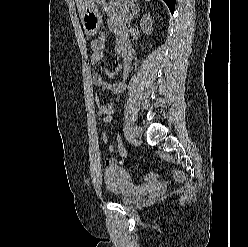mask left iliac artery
<instances>
[{
	"label": "left iliac artery",
	"instance_id": "left-iliac-artery-1",
	"mask_svg": "<svg viewBox=\"0 0 248 247\" xmlns=\"http://www.w3.org/2000/svg\"><path fill=\"white\" fill-rule=\"evenodd\" d=\"M124 134H125V136H129L130 135V128H129V126H125V128H124Z\"/></svg>",
	"mask_w": 248,
	"mask_h": 247
}]
</instances>
